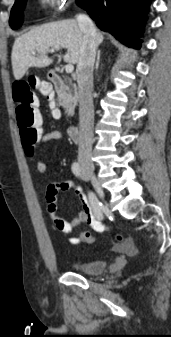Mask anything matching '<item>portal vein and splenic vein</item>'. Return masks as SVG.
Returning a JSON list of instances; mask_svg holds the SVG:
<instances>
[{"mask_svg": "<svg viewBox=\"0 0 171 337\" xmlns=\"http://www.w3.org/2000/svg\"><path fill=\"white\" fill-rule=\"evenodd\" d=\"M51 52H53V50H52ZM73 70H74V66H73L72 64H67V65L65 66V71H66V73H72Z\"/></svg>", "mask_w": 171, "mask_h": 337, "instance_id": "obj_1", "label": "portal vein and splenic vein"}]
</instances>
